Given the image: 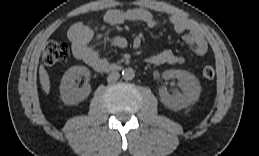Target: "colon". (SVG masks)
Returning a JSON list of instances; mask_svg holds the SVG:
<instances>
[{"mask_svg": "<svg viewBox=\"0 0 259 156\" xmlns=\"http://www.w3.org/2000/svg\"><path fill=\"white\" fill-rule=\"evenodd\" d=\"M69 54V48L66 43L58 41H49L43 50L42 61L48 66H54L66 59ZM202 75L205 79H213L215 70L212 66H205L202 70Z\"/></svg>", "mask_w": 259, "mask_h": 156, "instance_id": "obj_1", "label": "colon"}]
</instances>
